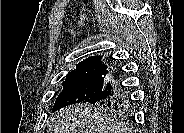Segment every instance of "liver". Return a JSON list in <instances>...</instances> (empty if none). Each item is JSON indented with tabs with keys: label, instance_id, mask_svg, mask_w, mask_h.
Returning a JSON list of instances; mask_svg holds the SVG:
<instances>
[{
	"label": "liver",
	"instance_id": "liver-1",
	"mask_svg": "<svg viewBox=\"0 0 184 133\" xmlns=\"http://www.w3.org/2000/svg\"><path fill=\"white\" fill-rule=\"evenodd\" d=\"M51 133H121L124 130L113 124L109 115L89 103L69 105L51 117Z\"/></svg>",
	"mask_w": 184,
	"mask_h": 133
}]
</instances>
